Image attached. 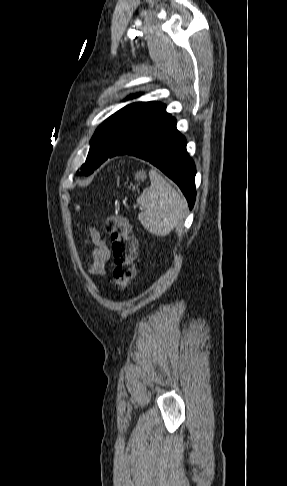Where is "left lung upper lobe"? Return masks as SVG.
I'll return each instance as SVG.
<instances>
[{"mask_svg":"<svg viewBox=\"0 0 287 486\" xmlns=\"http://www.w3.org/2000/svg\"><path fill=\"white\" fill-rule=\"evenodd\" d=\"M170 117L166 106L158 102H135L120 109L95 131L87 159L77 174L89 175L108 158L140 147Z\"/></svg>","mask_w":287,"mask_h":486,"instance_id":"obj_1","label":"left lung upper lobe"}]
</instances>
